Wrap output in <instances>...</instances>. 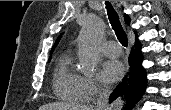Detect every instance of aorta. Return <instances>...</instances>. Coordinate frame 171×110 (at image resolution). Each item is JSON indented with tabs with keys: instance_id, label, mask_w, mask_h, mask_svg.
Segmentation results:
<instances>
[{
	"instance_id": "762f6f07",
	"label": "aorta",
	"mask_w": 171,
	"mask_h": 110,
	"mask_svg": "<svg viewBox=\"0 0 171 110\" xmlns=\"http://www.w3.org/2000/svg\"><path fill=\"white\" fill-rule=\"evenodd\" d=\"M104 23L92 16L83 26L78 42L79 69L85 75L94 72L100 61L99 44L104 33Z\"/></svg>"
}]
</instances>
